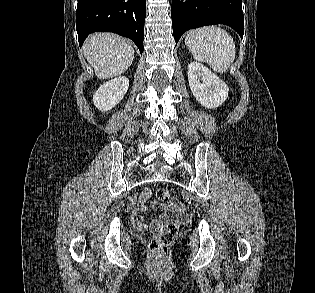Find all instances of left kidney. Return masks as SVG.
I'll list each match as a JSON object with an SVG mask.
<instances>
[{
    "instance_id": "obj_1",
    "label": "left kidney",
    "mask_w": 315,
    "mask_h": 293,
    "mask_svg": "<svg viewBox=\"0 0 315 293\" xmlns=\"http://www.w3.org/2000/svg\"><path fill=\"white\" fill-rule=\"evenodd\" d=\"M188 81L196 100L205 108L215 109L228 97V86L198 62H191L188 65Z\"/></svg>"
}]
</instances>
